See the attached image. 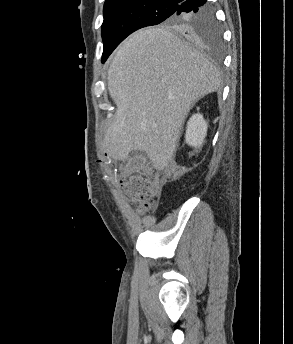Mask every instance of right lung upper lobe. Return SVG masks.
<instances>
[{"label": "right lung upper lobe", "instance_id": "1", "mask_svg": "<svg viewBox=\"0 0 293 344\" xmlns=\"http://www.w3.org/2000/svg\"><path fill=\"white\" fill-rule=\"evenodd\" d=\"M126 1H145V0H106L105 4H110V3H114V2H126ZM157 1H164V2H170V3H174V4H179L180 2H182L183 0H157ZM166 24V23H165ZM167 25V24H166ZM169 26V25H168Z\"/></svg>", "mask_w": 293, "mask_h": 344}]
</instances>
